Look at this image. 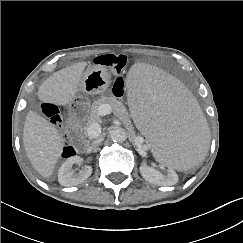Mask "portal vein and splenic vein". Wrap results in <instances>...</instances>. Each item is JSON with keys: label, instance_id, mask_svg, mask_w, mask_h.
I'll list each match as a JSON object with an SVG mask.
<instances>
[{"label": "portal vein and splenic vein", "instance_id": "18ae733b", "mask_svg": "<svg viewBox=\"0 0 243 243\" xmlns=\"http://www.w3.org/2000/svg\"><path fill=\"white\" fill-rule=\"evenodd\" d=\"M112 108L108 104H103L99 108V114L101 116L111 114ZM101 133V127L98 123H91L88 127L87 134L89 137L93 138Z\"/></svg>", "mask_w": 243, "mask_h": 243}]
</instances>
